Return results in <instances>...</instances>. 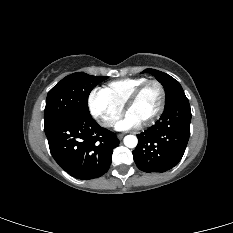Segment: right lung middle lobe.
Returning a JSON list of instances; mask_svg holds the SVG:
<instances>
[{"label": "right lung middle lobe", "instance_id": "obj_1", "mask_svg": "<svg viewBox=\"0 0 233 233\" xmlns=\"http://www.w3.org/2000/svg\"><path fill=\"white\" fill-rule=\"evenodd\" d=\"M105 76H91L83 72L63 78L48 93L44 113L45 125L56 120L81 114H90L88 96Z\"/></svg>", "mask_w": 233, "mask_h": 233}]
</instances>
